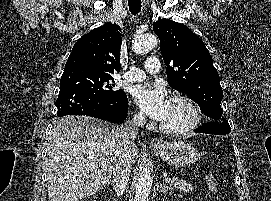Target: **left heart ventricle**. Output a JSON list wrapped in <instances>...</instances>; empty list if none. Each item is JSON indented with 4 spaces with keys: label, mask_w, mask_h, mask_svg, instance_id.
Returning <instances> with one entry per match:
<instances>
[{
    "label": "left heart ventricle",
    "mask_w": 271,
    "mask_h": 201,
    "mask_svg": "<svg viewBox=\"0 0 271 201\" xmlns=\"http://www.w3.org/2000/svg\"><path fill=\"white\" fill-rule=\"evenodd\" d=\"M190 119V111L183 103L169 101L167 114L161 123L167 127L177 128L186 125Z\"/></svg>",
    "instance_id": "1"
}]
</instances>
